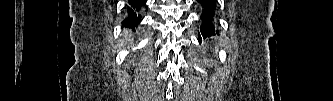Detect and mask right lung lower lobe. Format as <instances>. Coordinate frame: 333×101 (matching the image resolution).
I'll use <instances>...</instances> for the list:
<instances>
[{
	"mask_svg": "<svg viewBox=\"0 0 333 101\" xmlns=\"http://www.w3.org/2000/svg\"><path fill=\"white\" fill-rule=\"evenodd\" d=\"M145 3L146 0H129L131 8H128V16L124 20V25H129L131 27L138 26L141 22V16L137 12Z\"/></svg>",
	"mask_w": 333,
	"mask_h": 101,
	"instance_id": "1",
	"label": "right lung lower lobe"
}]
</instances>
